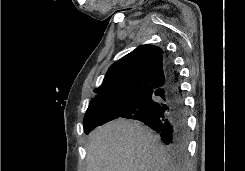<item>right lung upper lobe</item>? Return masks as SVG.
I'll return each instance as SVG.
<instances>
[{"label": "right lung upper lobe", "mask_w": 245, "mask_h": 171, "mask_svg": "<svg viewBox=\"0 0 245 171\" xmlns=\"http://www.w3.org/2000/svg\"><path fill=\"white\" fill-rule=\"evenodd\" d=\"M166 54L154 45H142L113 63L102 85L95 89L97 102L116 96L133 98L162 87L167 80Z\"/></svg>", "instance_id": "cb5924a9"}]
</instances>
